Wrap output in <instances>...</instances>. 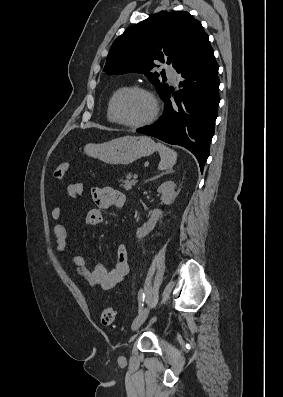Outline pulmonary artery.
<instances>
[{
	"label": "pulmonary artery",
	"mask_w": 283,
	"mask_h": 397,
	"mask_svg": "<svg viewBox=\"0 0 283 397\" xmlns=\"http://www.w3.org/2000/svg\"><path fill=\"white\" fill-rule=\"evenodd\" d=\"M166 72H167V75L170 77V79H171L173 82H175V81H176V78H177V73H176V71H175L174 69H172V68H168Z\"/></svg>",
	"instance_id": "e3ab8cb5"
}]
</instances>
